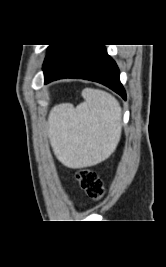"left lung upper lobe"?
Here are the masks:
<instances>
[{"label": "left lung upper lobe", "mask_w": 166, "mask_h": 267, "mask_svg": "<svg viewBox=\"0 0 166 267\" xmlns=\"http://www.w3.org/2000/svg\"><path fill=\"white\" fill-rule=\"evenodd\" d=\"M53 47H54V45H50V46L48 47L47 52H49Z\"/></svg>", "instance_id": "5c2ea615"}]
</instances>
